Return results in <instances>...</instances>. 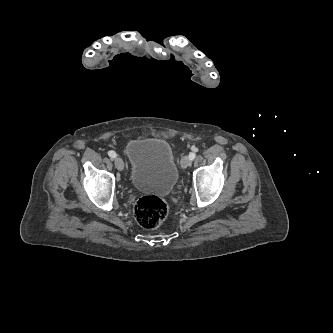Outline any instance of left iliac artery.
<instances>
[{"mask_svg":"<svg viewBox=\"0 0 333 333\" xmlns=\"http://www.w3.org/2000/svg\"><path fill=\"white\" fill-rule=\"evenodd\" d=\"M195 157H196V153H195V152H191V153L189 154V159H190V160H194Z\"/></svg>","mask_w":333,"mask_h":333,"instance_id":"obj_1","label":"left iliac artery"}]
</instances>
